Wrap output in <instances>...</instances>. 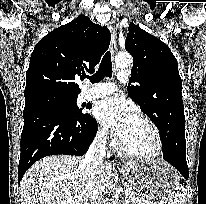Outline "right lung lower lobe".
<instances>
[{
  "mask_svg": "<svg viewBox=\"0 0 206 204\" xmlns=\"http://www.w3.org/2000/svg\"><path fill=\"white\" fill-rule=\"evenodd\" d=\"M18 183L39 159L55 154L84 155L92 143L97 122L89 114L73 117L46 104L24 108Z\"/></svg>",
  "mask_w": 206,
  "mask_h": 204,
  "instance_id": "right-lung-lower-lobe-1",
  "label": "right lung lower lobe"
}]
</instances>
